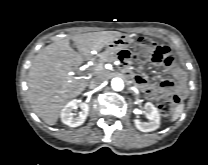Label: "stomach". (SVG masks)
Returning <instances> with one entry per match:
<instances>
[{"instance_id":"0dacf381","label":"stomach","mask_w":208,"mask_h":165,"mask_svg":"<svg viewBox=\"0 0 208 165\" xmlns=\"http://www.w3.org/2000/svg\"><path fill=\"white\" fill-rule=\"evenodd\" d=\"M133 42V39L127 35H122L117 39L113 40L112 42L106 45V49L113 53H119L122 50L128 48Z\"/></svg>"}]
</instances>
